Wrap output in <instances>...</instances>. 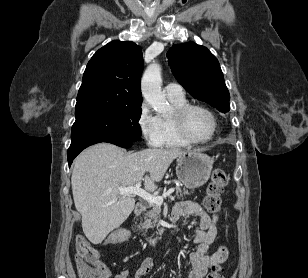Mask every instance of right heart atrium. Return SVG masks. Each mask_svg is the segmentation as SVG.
<instances>
[{
    "label": "right heart atrium",
    "instance_id": "1",
    "mask_svg": "<svg viewBox=\"0 0 308 278\" xmlns=\"http://www.w3.org/2000/svg\"><path fill=\"white\" fill-rule=\"evenodd\" d=\"M137 125L143 139L149 146L159 147L162 132L159 117L155 116L147 103H142L137 117Z\"/></svg>",
    "mask_w": 308,
    "mask_h": 278
}]
</instances>
